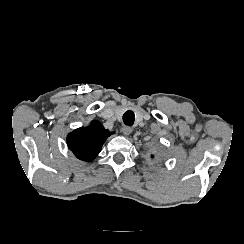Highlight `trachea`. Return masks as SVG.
<instances>
[{"label":"trachea","instance_id":"1","mask_svg":"<svg viewBox=\"0 0 244 244\" xmlns=\"http://www.w3.org/2000/svg\"><path fill=\"white\" fill-rule=\"evenodd\" d=\"M135 121V115L132 110H128L123 115V122L125 125L132 126Z\"/></svg>","mask_w":244,"mask_h":244}]
</instances>
